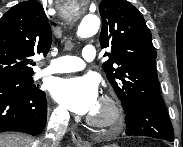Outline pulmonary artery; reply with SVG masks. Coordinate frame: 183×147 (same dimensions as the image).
<instances>
[{
	"mask_svg": "<svg viewBox=\"0 0 183 147\" xmlns=\"http://www.w3.org/2000/svg\"><path fill=\"white\" fill-rule=\"evenodd\" d=\"M96 48L86 45L82 50V58L75 56H62L50 62L43 71L45 74L67 73L82 70L86 61H92L96 57Z\"/></svg>",
	"mask_w": 183,
	"mask_h": 147,
	"instance_id": "e3ab8cb5",
	"label": "pulmonary artery"
}]
</instances>
